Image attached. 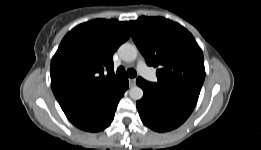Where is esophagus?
Returning <instances> with one entry per match:
<instances>
[{"instance_id":"34e87169","label":"esophagus","mask_w":261,"mask_h":150,"mask_svg":"<svg viewBox=\"0 0 261 150\" xmlns=\"http://www.w3.org/2000/svg\"><path fill=\"white\" fill-rule=\"evenodd\" d=\"M129 84H130V86H135L136 85V79H134V78L129 79Z\"/></svg>"}]
</instances>
